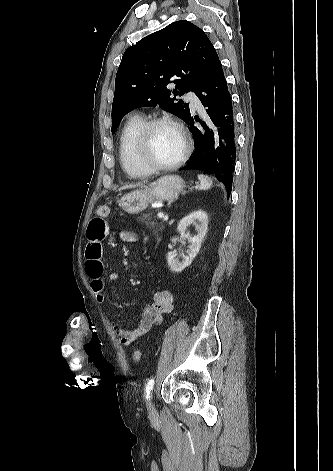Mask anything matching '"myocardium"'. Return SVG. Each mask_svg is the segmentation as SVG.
I'll return each mask as SVG.
<instances>
[{"instance_id":"1","label":"myocardium","mask_w":333,"mask_h":471,"mask_svg":"<svg viewBox=\"0 0 333 471\" xmlns=\"http://www.w3.org/2000/svg\"><path fill=\"white\" fill-rule=\"evenodd\" d=\"M160 125L172 126L179 133L182 140V150L180 155L174 161L167 164L157 163L151 156V134L153 130ZM190 150L191 141L185 128L179 122L170 117H158L145 122L137 139L138 161L151 173L170 171L178 168L187 160Z\"/></svg>"}]
</instances>
